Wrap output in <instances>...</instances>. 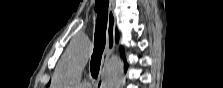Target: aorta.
I'll return each mask as SVG.
<instances>
[{
    "label": "aorta",
    "mask_w": 223,
    "mask_h": 88,
    "mask_svg": "<svg viewBox=\"0 0 223 88\" xmlns=\"http://www.w3.org/2000/svg\"><path fill=\"white\" fill-rule=\"evenodd\" d=\"M91 48L87 41L74 40L62 55L53 78L55 88H75L81 72L88 62ZM123 63L113 56L105 70L104 87L119 88L122 84Z\"/></svg>",
    "instance_id": "1"
}]
</instances>
